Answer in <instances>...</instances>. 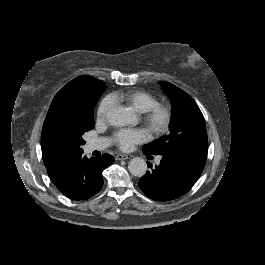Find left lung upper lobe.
Here are the masks:
<instances>
[{"mask_svg":"<svg viewBox=\"0 0 265 265\" xmlns=\"http://www.w3.org/2000/svg\"><path fill=\"white\" fill-rule=\"evenodd\" d=\"M172 105L170 133L143 146L146 154L163 155L187 149L208 150L205 120L195 101L168 82H159Z\"/></svg>","mask_w":265,"mask_h":265,"instance_id":"obj_1","label":"left lung upper lobe"}]
</instances>
